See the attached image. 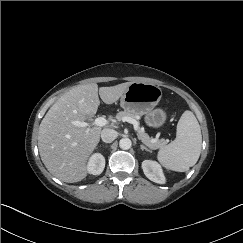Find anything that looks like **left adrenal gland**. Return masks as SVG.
Masks as SVG:
<instances>
[{
	"label": "left adrenal gland",
	"instance_id": "1",
	"mask_svg": "<svg viewBox=\"0 0 243 243\" xmlns=\"http://www.w3.org/2000/svg\"><path fill=\"white\" fill-rule=\"evenodd\" d=\"M140 149L141 150H145L147 152H151V150H149L148 148H146L144 145H140Z\"/></svg>",
	"mask_w": 243,
	"mask_h": 243
}]
</instances>
